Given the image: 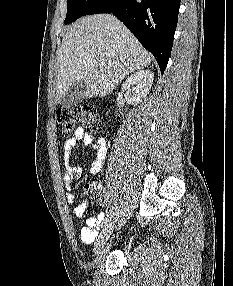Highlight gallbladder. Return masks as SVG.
<instances>
[{"instance_id": "bac80fb5", "label": "gallbladder", "mask_w": 233, "mask_h": 286, "mask_svg": "<svg viewBox=\"0 0 233 286\" xmlns=\"http://www.w3.org/2000/svg\"><path fill=\"white\" fill-rule=\"evenodd\" d=\"M86 88L87 83L84 80L80 79L74 82L60 102L62 108H70L81 103L84 99Z\"/></svg>"}]
</instances>
